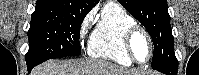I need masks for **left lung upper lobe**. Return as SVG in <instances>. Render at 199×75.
I'll return each mask as SVG.
<instances>
[{
  "label": "left lung upper lobe",
  "mask_w": 199,
  "mask_h": 75,
  "mask_svg": "<svg viewBox=\"0 0 199 75\" xmlns=\"http://www.w3.org/2000/svg\"><path fill=\"white\" fill-rule=\"evenodd\" d=\"M118 1L132 16L144 25L150 34L154 44L152 68L157 70L178 62L174 52V37L170 25L167 1Z\"/></svg>",
  "instance_id": "obj_1"
}]
</instances>
